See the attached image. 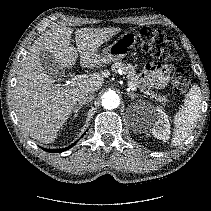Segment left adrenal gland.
Here are the masks:
<instances>
[{
	"instance_id": "left-adrenal-gland-1",
	"label": "left adrenal gland",
	"mask_w": 211,
	"mask_h": 211,
	"mask_svg": "<svg viewBox=\"0 0 211 211\" xmlns=\"http://www.w3.org/2000/svg\"><path fill=\"white\" fill-rule=\"evenodd\" d=\"M127 95H129L132 100H134L136 97H138V94L132 93V92H128Z\"/></svg>"
}]
</instances>
